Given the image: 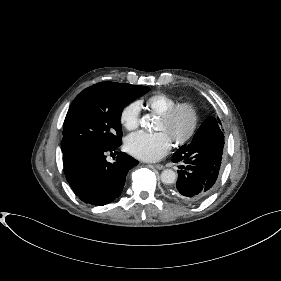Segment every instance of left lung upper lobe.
I'll return each mask as SVG.
<instances>
[{"label":"left lung upper lobe","mask_w":281,"mask_h":281,"mask_svg":"<svg viewBox=\"0 0 281 281\" xmlns=\"http://www.w3.org/2000/svg\"><path fill=\"white\" fill-rule=\"evenodd\" d=\"M219 120V119H218ZM219 123H220V120H219ZM182 149V146L177 150V151H180Z\"/></svg>","instance_id":"1"}]
</instances>
